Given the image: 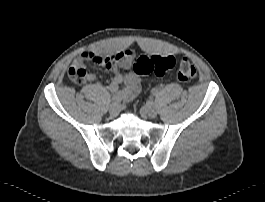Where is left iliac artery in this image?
I'll return each mask as SVG.
<instances>
[{
    "label": "left iliac artery",
    "mask_w": 265,
    "mask_h": 202,
    "mask_svg": "<svg viewBox=\"0 0 265 202\" xmlns=\"http://www.w3.org/2000/svg\"><path fill=\"white\" fill-rule=\"evenodd\" d=\"M152 94H153V95H156V94H157V90L153 89V90H152Z\"/></svg>",
    "instance_id": "1"
}]
</instances>
